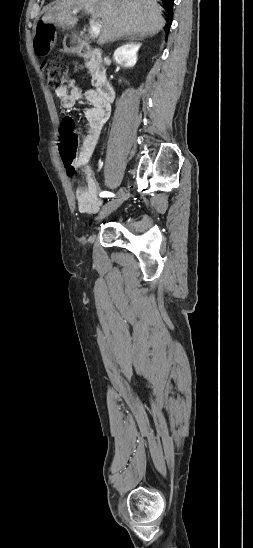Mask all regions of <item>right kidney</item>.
Masks as SVG:
<instances>
[{"instance_id": "obj_1", "label": "right kidney", "mask_w": 253, "mask_h": 548, "mask_svg": "<svg viewBox=\"0 0 253 548\" xmlns=\"http://www.w3.org/2000/svg\"><path fill=\"white\" fill-rule=\"evenodd\" d=\"M140 46L141 44L133 42L122 45L114 52V60L124 68L133 67L137 62L136 53Z\"/></svg>"}]
</instances>
